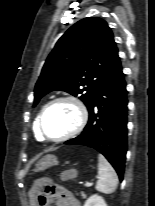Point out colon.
<instances>
[{
    "label": "colon",
    "mask_w": 155,
    "mask_h": 206,
    "mask_svg": "<svg viewBox=\"0 0 155 206\" xmlns=\"http://www.w3.org/2000/svg\"><path fill=\"white\" fill-rule=\"evenodd\" d=\"M53 188L54 184L49 179H43L37 183V187L32 190V194L36 197L38 206H46L47 195L52 192Z\"/></svg>",
    "instance_id": "colon-1"
}]
</instances>
